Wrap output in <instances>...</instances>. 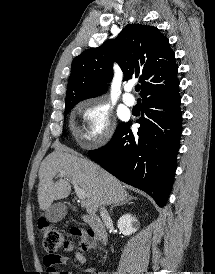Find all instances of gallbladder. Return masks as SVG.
<instances>
[{"label":"gallbladder","mask_w":215,"mask_h":274,"mask_svg":"<svg viewBox=\"0 0 215 274\" xmlns=\"http://www.w3.org/2000/svg\"><path fill=\"white\" fill-rule=\"evenodd\" d=\"M68 207H72L68 202L55 203L47 209L45 216L50 222H59L65 217Z\"/></svg>","instance_id":"bac80fb5"}]
</instances>
